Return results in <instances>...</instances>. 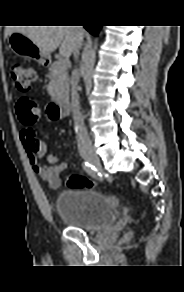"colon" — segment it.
Masks as SVG:
<instances>
[{
    "instance_id": "obj_1",
    "label": "colon",
    "mask_w": 184,
    "mask_h": 292,
    "mask_svg": "<svg viewBox=\"0 0 184 292\" xmlns=\"http://www.w3.org/2000/svg\"><path fill=\"white\" fill-rule=\"evenodd\" d=\"M10 74L15 81L16 87L21 92H27L36 77L34 67L21 61H14L10 65ZM16 113L19 121L24 126H31L39 120V110L29 97H21L16 104ZM69 188H94L96 183L80 174H71L67 177ZM130 234L127 235V238Z\"/></svg>"
}]
</instances>
